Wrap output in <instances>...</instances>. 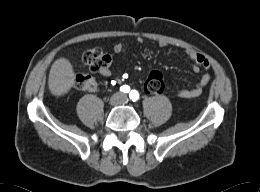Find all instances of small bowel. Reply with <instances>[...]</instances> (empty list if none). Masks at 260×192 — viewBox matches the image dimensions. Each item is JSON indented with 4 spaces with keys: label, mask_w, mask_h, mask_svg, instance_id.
I'll return each instance as SVG.
<instances>
[{
    "label": "small bowel",
    "mask_w": 260,
    "mask_h": 192,
    "mask_svg": "<svg viewBox=\"0 0 260 192\" xmlns=\"http://www.w3.org/2000/svg\"><path fill=\"white\" fill-rule=\"evenodd\" d=\"M141 42V39H139ZM165 43H161V46H165ZM113 51L117 54L125 53L126 46L123 43H117L113 46ZM188 58L192 61V71L194 73H199L201 70H208L210 69V62L201 54L189 50L187 51ZM101 75L109 76L110 70L108 68L103 69L100 71ZM211 80L210 74H204L201 79L196 83V85L190 89H182L177 92V96L184 99H192L200 96L203 92L205 86L209 84Z\"/></svg>",
    "instance_id": "1"
}]
</instances>
